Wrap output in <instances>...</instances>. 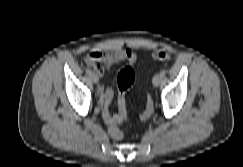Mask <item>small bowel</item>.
<instances>
[{"instance_id":"1","label":"small bowel","mask_w":243,"mask_h":167,"mask_svg":"<svg viewBox=\"0 0 243 167\" xmlns=\"http://www.w3.org/2000/svg\"><path fill=\"white\" fill-rule=\"evenodd\" d=\"M138 55L136 51L130 48L126 49H116L114 51H92L91 53L84 56L85 63L91 67L97 76L102 77L104 74V69L110 67L120 61H127L133 64L137 61ZM101 114L104 122L109 126L112 123L119 121L120 114V104H119V94H118V107L119 112L112 114L110 111V103L113 98V90L111 88L104 87L100 85L98 87Z\"/></svg>"}]
</instances>
